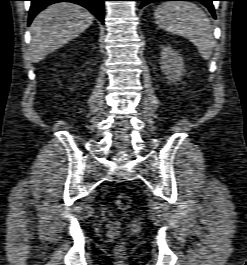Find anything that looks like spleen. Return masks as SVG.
I'll use <instances>...</instances> for the list:
<instances>
[{"instance_id":"obj_1","label":"spleen","mask_w":247,"mask_h":265,"mask_svg":"<svg viewBox=\"0 0 247 265\" xmlns=\"http://www.w3.org/2000/svg\"><path fill=\"white\" fill-rule=\"evenodd\" d=\"M159 27L191 41L203 59L211 57L215 45L213 28L205 12L191 2L170 1L155 10Z\"/></svg>"}]
</instances>
